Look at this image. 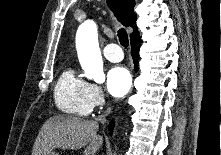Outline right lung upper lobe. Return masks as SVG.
I'll list each match as a JSON object with an SVG mask.
<instances>
[{"label": "right lung upper lobe", "instance_id": "1", "mask_svg": "<svg viewBox=\"0 0 221 155\" xmlns=\"http://www.w3.org/2000/svg\"><path fill=\"white\" fill-rule=\"evenodd\" d=\"M107 3L111 7V9L116 14L118 20L124 26H130L133 28V32L130 35L132 38L134 35L138 33V28L136 26L137 16L133 11L135 6L134 0H108Z\"/></svg>", "mask_w": 221, "mask_h": 155}]
</instances>
